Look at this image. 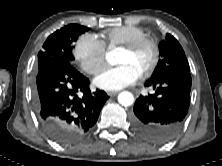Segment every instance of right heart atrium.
Listing matches in <instances>:
<instances>
[{
    "label": "right heart atrium",
    "instance_id": "1",
    "mask_svg": "<svg viewBox=\"0 0 222 166\" xmlns=\"http://www.w3.org/2000/svg\"><path fill=\"white\" fill-rule=\"evenodd\" d=\"M73 53L80 68L90 75L96 74L105 63V45L93 34L81 35L75 44Z\"/></svg>",
    "mask_w": 222,
    "mask_h": 166
}]
</instances>
